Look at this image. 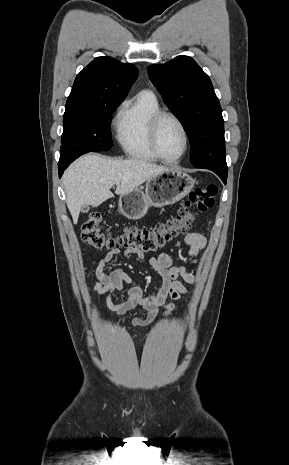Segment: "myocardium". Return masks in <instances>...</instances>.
<instances>
[{
  "instance_id": "obj_1",
  "label": "myocardium",
  "mask_w": 289,
  "mask_h": 465,
  "mask_svg": "<svg viewBox=\"0 0 289 465\" xmlns=\"http://www.w3.org/2000/svg\"><path fill=\"white\" fill-rule=\"evenodd\" d=\"M166 118L173 119L179 125V127L181 128L183 132L184 141H185V145H184V149L182 153L174 159H168L164 157L163 154L161 153L160 146H159L160 127H161L163 120ZM149 139H150V145H151L152 151L156 155V157L162 162L168 163V164H174V163L179 162L186 155V153L189 150V146H190V136H189V132H188L186 125L184 124V122L181 120L179 116L169 111H159L153 116L150 122Z\"/></svg>"
}]
</instances>
